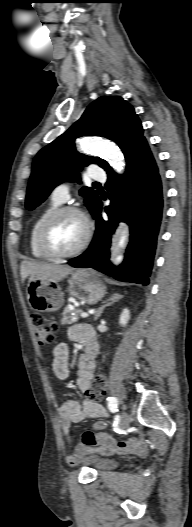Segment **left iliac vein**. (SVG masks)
I'll list each match as a JSON object with an SVG mask.
<instances>
[{
  "label": "left iliac vein",
  "mask_w": 192,
  "mask_h": 527,
  "mask_svg": "<svg viewBox=\"0 0 192 527\" xmlns=\"http://www.w3.org/2000/svg\"><path fill=\"white\" fill-rule=\"evenodd\" d=\"M129 422H130V416L125 410H123L120 414V427L122 429L127 428L129 425Z\"/></svg>",
  "instance_id": "left-iliac-vein-1"
}]
</instances>
